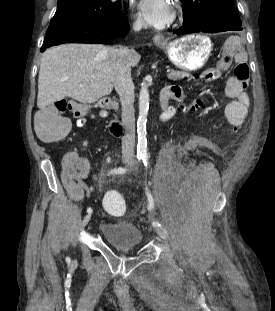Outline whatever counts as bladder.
Masks as SVG:
<instances>
[{
  "label": "bladder",
  "mask_w": 275,
  "mask_h": 311,
  "mask_svg": "<svg viewBox=\"0 0 275 311\" xmlns=\"http://www.w3.org/2000/svg\"><path fill=\"white\" fill-rule=\"evenodd\" d=\"M101 236L114 248L133 249L142 242L139 227L128 219L103 222L99 226Z\"/></svg>",
  "instance_id": "31cf9c89"
}]
</instances>
